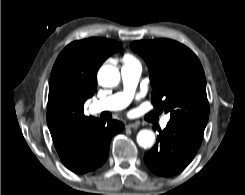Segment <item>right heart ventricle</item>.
I'll list each match as a JSON object with an SVG mask.
<instances>
[{
    "mask_svg": "<svg viewBox=\"0 0 245 195\" xmlns=\"http://www.w3.org/2000/svg\"><path fill=\"white\" fill-rule=\"evenodd\" d=\"M124 61H135L134 57L131 55H125L124 56Z\"/></svg>",
    "mask_w": 245,
    "mask_h": 195,
    "instance_id": "e07e8e85",
    "label": "right heart ventricle"
}]
</instances>
